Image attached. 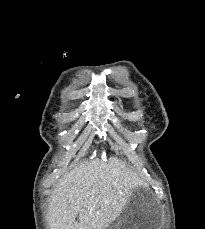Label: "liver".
<instances>
[{"label":"liver","instance_id":"1","mask_svg":"<svg viewBox=\"0 0 205 229\" xmlns=\"http://www.w3.org/2000/svg\"><path fill=\"white\" fill-rule=\"evenodd\" d=\"M136 182V174L118 158L82 162L55 186L50 229H105L127 205Z\"/></svg>","mask_w":205,"mask_h":229}]
</instances>
